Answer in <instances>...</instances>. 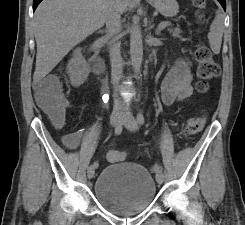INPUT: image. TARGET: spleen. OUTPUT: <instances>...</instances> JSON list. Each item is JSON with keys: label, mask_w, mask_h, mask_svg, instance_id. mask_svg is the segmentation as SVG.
Segmentation results:
<instances>
[{"label": "spleen", "mask_w": 245, "mask_h": 225, "mask_svg": "<svg viewBox=\"0 0 245 225\" xmlns=\"http://www.w3.org/2000/svg\"><path fill=\"white\" fill-rule=\"evenodd\" d=\"M223 31H224L223 15L221 14V11H217L216 17L210 26V32L208 34L210 47L215 54L220 53Z\"/></svg>", "instance_id": "obj_1"}]
</instances>
